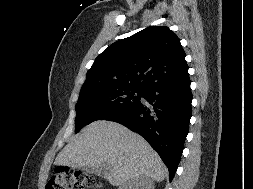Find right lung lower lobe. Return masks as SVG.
Segmentation results:
<instances>
[{
    "label": "right lung lower lobe",
    "mask_w": 253,
    "mask_h": 189,
    "mask_svg": "<svg viewBox=\"0 0 253 189\" xmlns=\"http://www.w3.org/2000/svg\"><path fill=\"white\" fill-rule=\"evenodd\" d=\"M142 97L149 105L139 101L134 107L107 120L118 122L146 139L168 167L171 181L178 167L191 118L189 76L178 82L150 87Z\"/></svg>",
    "instance_id": "1"
}]
</instances>
